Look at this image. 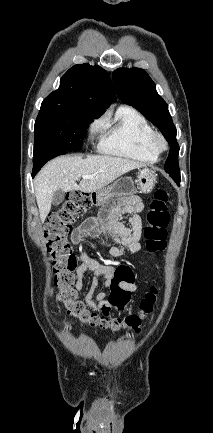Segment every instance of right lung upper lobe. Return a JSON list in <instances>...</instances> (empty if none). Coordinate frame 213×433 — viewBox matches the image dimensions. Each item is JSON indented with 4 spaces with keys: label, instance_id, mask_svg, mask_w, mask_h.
<instances>
[{
    "label": "right lung upper lobe",
    "instance_id": "1",
    "mask_svg": "<svg viewBox=\"0 0 213 433\" xmlns=\"http://www.w3.org/2000/svg\"><path fill=\"white\" fill-rule=\"evenodd\" d=\"M116 96L108 73L99 66L75 65L61 78L60 87L43 103L84 109L102 115Z\"/></svg>",
    "mask_w": 213,
    "mask_h": 433
}]
</instances>
